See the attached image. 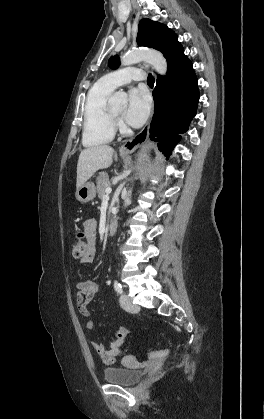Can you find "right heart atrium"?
Listing matches in <instances>:
<instances>
[{"mask_svg":"<svg viewBox=\"0 0 264 419\" xmlns=\"http://www.w3.org/2000/svg\"><path fill=\"white\" fill-rule=\"evenodd\" d=\"M119 127H123V124L121 121L118 122Z\"/></svg>","mask_w":264,"mask_h":419,"instance_id":"d8ad5b80","label":"right heart atrium"}]
</instances>
